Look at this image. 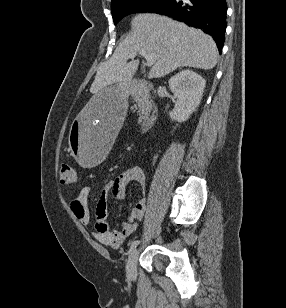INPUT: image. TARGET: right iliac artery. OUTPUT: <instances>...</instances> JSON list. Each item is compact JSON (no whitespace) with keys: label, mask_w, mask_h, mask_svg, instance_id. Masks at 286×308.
Listing matches in <instances>:
<instances>
[{"label":"right iliac artery","mask_w":286,"mask_h":308,"mask_svg":"<svg viewBox=\"0 0 286 308\" xmlns=\"http://www.w3.org/2000/svg\"><path fill=\"white\" fill-rule=\"evenodd\" d=\"M159 234V233H158ZM140 243L139 240H134L130 245V251H132Z\"/></svg>","instance_id":"obj_1"}]
</instances>
